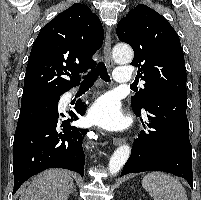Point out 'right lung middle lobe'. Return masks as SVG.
Returning a JSON list of instances; mask_svg holds the SVG:
<instances>
[{
	"label": "right lung middle lobe",
	"instance_id": "dd1d6c3e",
	"mask_svg": "<svg viewBox=\"0 0 201 200\" xmlns=\"http://www.w3.org/2000/svg\"><path fill=\"white\" fill-rule=\"evenodd\" d=\"M45 97H48V96H45ZM41 98H44V97H38V98H22V99H21V104L27 103V102H30V101H33V100L41 99Z\"/></svg>",
	"mask_w": 201,
	"mask_h": 200
}]
</instances>
